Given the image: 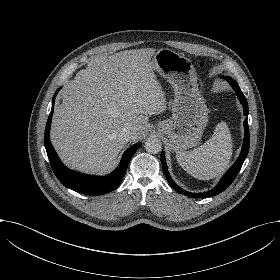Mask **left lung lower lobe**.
I'll use <instances>...</instances> for the list:
<instances>
[{
  "label": "left lung lower lobe",
  "instance_id": "1",
  "mask_svg": "<svg viewBox=\"0 0 280 280\" xmlns=\"http://www.w3.org/2000/svg\"><path fill=\"white\" fill-rule=\"evenodd\" d=\"M227 80L230 83V85L232 86V88L234 89V91L236 92L237 97L240 100L241 104L243 105L244 115L246 116V119L244 120L245 133H244V141H243V146H242L241 153H240L238 159L236 160V162L231 166V168L222 177L218 186H216L213 190H210V191L205 192V193L192 194V193L186 192L185 190L180 188L172 180V178L169 175L168 169H167L164 153L162 152L161 162H162V167H163L164 174H165L169 184L176 191H178L179 193H182L183 195H186V196H189V197H195V198H203V197L214 196V195H217V194L221 193L233 182V180L237 176L238 172L240 171L244 160L247 157L248 150H249V144H250V134H249V128H248V122H247L248 111H249L248 110V103H247V100H246L245 96L243 95L242 91L240 90L239 86L237 85L236 81L233 80L230 77H228Z\"/></svg>",
  "mask_w": 280,
  "mask_h": 280
}]
</instances>
